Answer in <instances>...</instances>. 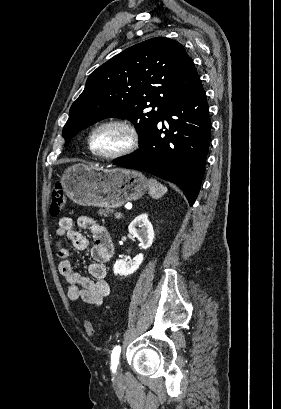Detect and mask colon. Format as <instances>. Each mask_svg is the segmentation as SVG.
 <instances>
[{
	"instance_id": "colon-1",
	"label": "colon",
	"mask_w": 281,
	"mask_h": 409,
	"mask_svg": "<svg viewBox=\"0 0 281 409\" xmlns=\"http://www.w3.org/2000/svg\"><path fill=\"white\" fill-rule=\"evenodd\" d=\"M52 194L53 202L51 204V212L53 215H58L64 210L65 207V197L62 186L60 184H56L52 190ZM84 326L86 329H88L89 335L95 334V329L92 327L93 325L91 322H86Z\"/></svg>"
}]
</instances>
